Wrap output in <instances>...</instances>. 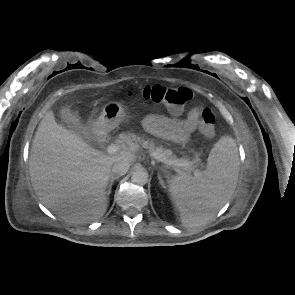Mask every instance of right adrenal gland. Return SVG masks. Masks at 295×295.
<instances>
[{
    "label": "right adrenal gland",
    "mask_w": 295,
    "mask_h": 295,
    "mask_svg": "<svg viewBox=\"0 0 295 295\" xmlns=\"http://www.w3.org/2000/svg\"><path fill=\"white\" fill-rule=\"evenodd\" d=\"M120 176H112L109 183H108V190H107V194L109 195L111 193V189H112V185H113V182L116 180V179H119Z\"/></svg>",
    "instance_id": "2a0ac1e0"
}]
</instances>
